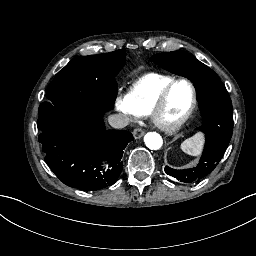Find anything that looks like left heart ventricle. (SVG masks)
Listing matches in <instances>:
<instances>
[{
  "label": "left heart ventricle",
  "mask_w": 256,
  "mask_h": 256,
  "mask_svg": "<svg viewBox=\"0 0 256 256\" xmlns=\"http://www.w3.org/2000/svg\"><path fill=\"white\" fill-rule=\"evenodd\" d=\"M192 93L191 89L185 82L178 83L166 102V104L157 110H150L144 104L143 112L150 111L163 128H170L173 121L180 118L191 106Z\"/></svg>",
  "instance_id": "b2bd125f"
}]
</instances>
